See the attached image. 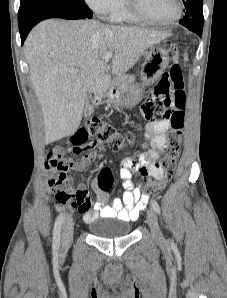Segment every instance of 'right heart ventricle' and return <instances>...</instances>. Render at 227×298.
Wrapping results in <instances>:
<instances>
[{"label": "right heart ventricle", "instance_id": "e07e8e85", "mask_svg": "<svg viewBox=\"0 0 227 298\" xmlns=\"http://www.w3.org/2000/svg\"><path fill=\"white\" fill-rule=\"evenodd\" d=\"M113 22H123L129 24H138L139 20L134 18L126 8L125 0H121L118 8L110 15Z\"/></svg>", "mask_w": 227, "mask_h": 298}]
</instances>
